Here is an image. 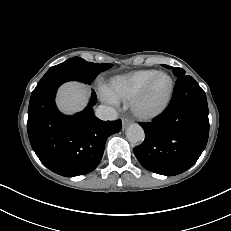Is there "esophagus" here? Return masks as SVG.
<instances>
[{"label": "esophagus", "mask_w": 231, "mask_h": 231, "mask_svg": "<svg viewBox=\"0 0 231 231\" xmlns=\"http://www.w3.org/2000/svg\"><path fill=\"white\" fill-rule=\"evenodd\" d=\"M130 123H131V121L129 119L123 118L122 119V127H123V129H125Z\"/></svg>", "instance_id": "esophagus-1"}]
</instances>
